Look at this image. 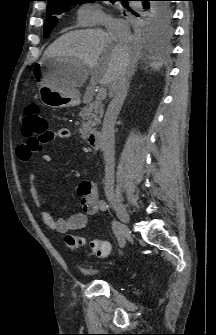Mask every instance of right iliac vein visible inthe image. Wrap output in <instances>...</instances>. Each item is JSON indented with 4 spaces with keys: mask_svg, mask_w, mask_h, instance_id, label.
<instances>
[{
    "mask_svg": "<svg viewBox=\"0 0 216 335\" xmlns=\"http://www.w3.org/2000/svg\"><path fill=\"white\" fill-rule=\"evenodd\" d=\"M107 197L113 209L115 210L118 218L123 224V232L125 234H128L129 229L127 227V224L129 223L130 218L125 206L113 193H108Z\"/></svg>",
    "mask_w": 216,
    "mask_h": 335,
    "instance_id": "obj_1",
    "label": "right iliac vein"
}]
</instances>
